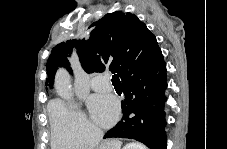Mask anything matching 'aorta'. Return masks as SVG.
<instances>
[{"label": "aorta", "instance_id": "obj_1", "mask_svg": "<svg viewBox=\"0 0 227 149\" xmlns=\"http://www.w3.org/2000/svg\"><path fill=\"white\" fill-rule=\"evenodd\" d=\"M55 89L58 95L69 103H73V90L69 75L64 70H60L55 79Z\"/></svg>", "mask_w": 227, "mask_h": 149}]
</instances>
